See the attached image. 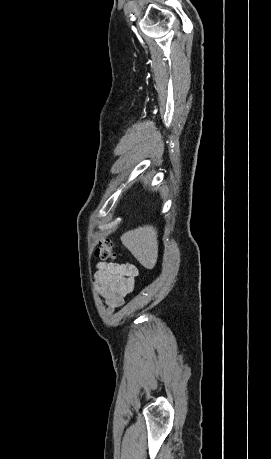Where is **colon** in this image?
Wrapping results in <instances>:
<instances>
[{"instance_id":"obj_1","label":"colon","mask_w":271,"mask_h":459,"mask_svg":"<svg viewBox=\"0 0 271 459\" xmlns=\"http://www.w3.org/2000/svg\"><path fill=\"white\" fill-rule=\"evenodd\" d=\"M95 256L102 260L114 258L115 254L112 242L109 240L102 241L95 250Z\"/></svg>"}]
</instances>
